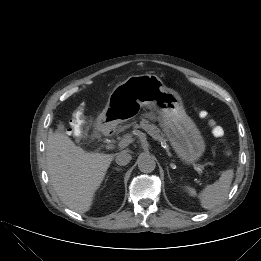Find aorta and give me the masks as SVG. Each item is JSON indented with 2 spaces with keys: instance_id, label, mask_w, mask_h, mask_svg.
Instances as JSON below:
<instances>
[{
  "instance_id": "obj_1",
  "label": "aorta",
  "mask_w": 261,
  "mask_h": 261,
  "mask_svg": "<svg viewBox=\"0 0 261 261\" xmlns=\"http://www.w3.org/2000/svg\"><path fill=\"white\" fill-rule=\"evenodd\" d=\"M138 168L141 172L150 173L156 168L155 159L151 156H141L137 160Z\"/></svg>"
}]
</instances>
